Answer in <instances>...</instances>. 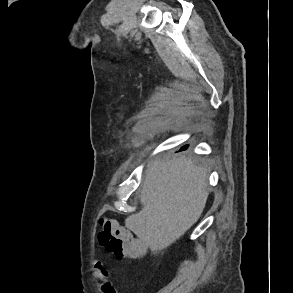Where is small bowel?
Instances as JSON below:
<instances>
[{
  "label": "small bowel",
  "mask_w": 293,
  "mask_h": 293,
  "mask_svg": "<svg viewBox=\"0 0 293 293\" xmlns=\"http://www.w3.org/2000/svg\"><path fill=\"white\" fill-rule=\"evenodd\" d=\"M93 274L101 282L102 293H118L113 283L109 280V271L101 262L95 263Z\"/></svg>",
  "instance_id": "small-bowel-1"
}]
</instances>
